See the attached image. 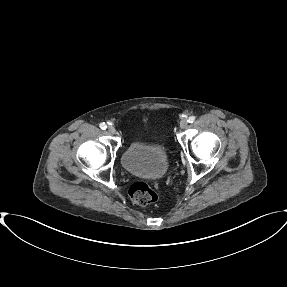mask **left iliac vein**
Returning a JSON list of instances; mask_svg holds the SVG:
<instances>
[{"label": "left iliac vein", "mask_w": 287, "mask_h": 287, "mask_svg": "<svg viewBox=\"0 0 287 287\" xmlns=\"http://www.w3.org/2000/svg\"><path fill=\"white\" fill-rule=\"evenodd\" d=\"M180 127L182 129H186L188 127V120L187 119H182L180 122Z\"/></svg>", "instance_id": "left-iliac-vein-1"}]
</instances>
